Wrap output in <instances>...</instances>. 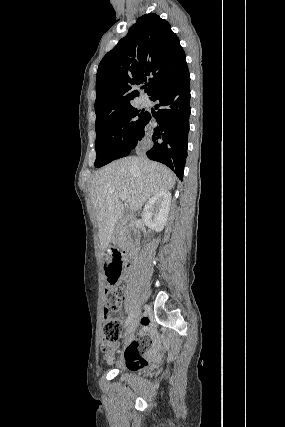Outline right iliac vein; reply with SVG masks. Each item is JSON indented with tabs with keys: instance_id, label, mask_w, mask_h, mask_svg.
<instances>
[{
	"instance_id": "1",
	"label": "right iliac vein",
	"mask_w": 285,
	"mask_h": 427,
	"mask_svg": "<svg viewBox=\"0 0 285 427\" xmlns=\"http://www.w3.org/2000/svg\"><path fill=\"white\" fill-rule=\"evenodd\" d=\"M141 318V314L140 312H137L131 321V324L129 325V327L127 328L126 332H125V338L126 339H130L134 333L135 328L137 327L139 321Z\"/></svg>"
}]
</instances>
